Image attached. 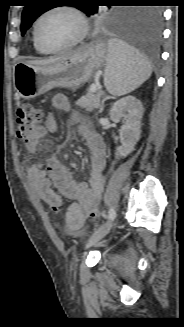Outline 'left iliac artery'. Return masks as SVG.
I'll return each instance as SVG.
<instances>
[{
    "label": "left iliac artery",
    "instance_id": "obj_1",
    "mask_svg": "<svg viewBox=\"0 0 184 327\" xmlns=\"http://www.w3.org/2000/svg\"><path fill=\"white\" fill-rule=\"evenodd\" d=\"M108 213H109V219L113 220L116 216L115 210L113 208H110Z\"/></svg>",
    "mask_w": 184,
    "mask_h": 327
}]
</instances>
